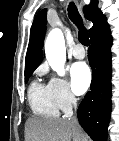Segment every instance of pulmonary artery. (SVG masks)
Masks as SVG:
<instances>
[{"instance_id":"obj_1","label":"pulmonary artery","mask_w":119,"mask_h":141,"mask_svg":"<svg viewBox=\"0 0 119 141\" xmlns=\"http://www.w3.org/2000/svg\"><path fill=\"white\" fill-rule=\"evenodd\" d=\"M72 55L77 59H83L86 55L85 49L81 44H77L72 49Z\"/></svg>"}]
</instances>
